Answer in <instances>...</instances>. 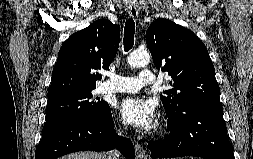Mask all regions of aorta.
Masks as SVG:
<instances>
[{
    "label": "aorta",
    "instance_id": "762f6f07",
    "mask_svg": "<svg viewBox=\"0 0 253 159\" xmlns=\"http://www.w3.org/2000/svg\"><path fill=\"white\" fill-rule=\"evenodd\" d=\"M127 62L134 68L143 67L150 62V54L146 50H136L128 56Z\"/></svg>",
    "mask_w": 253,
    "mask_h": 159
}]
</instances>
